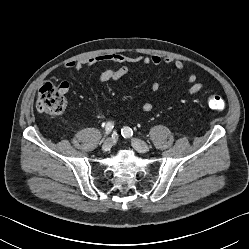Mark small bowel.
Here are the masks:
<instances>
[{"label": "small bowel", "instance_id": "c3829d8e", "mask_svg": "<svg viewBox=\"0 0 249 249\" xmlns=\"http://www.w3.org/2000/svg\"><path fill=\"white\" fill-rule=\"evenodd\" d=\"M117 63L121 66L119 68L108 67L104 69L98 76L100 82L116 81L124 77L130 72V65L141 64L144 66H159L162 64L171 65L178 72H184L186 69L185 63L179 59H173L170 57L162 58L158 55H126L119 52H107L100 55L82 58L77 61L67 62L66 69H73L80 74L86 72L90 67L102 64V63ZM61 89L65 93L69 90V83L63 81ZM186 93L188 95H194L204 89V84L198 81L196 73H190L186 79ZM151 90L158 92L160 90V84L153 82L151 84ZM155 108V104L152 102H145L142 104L141 109L144 112H150Z\"/></svg>", "mask_w": 249, "mask_h": 249}]
</instances>
